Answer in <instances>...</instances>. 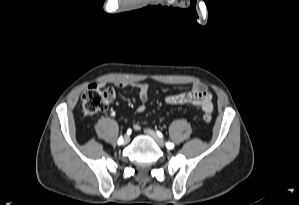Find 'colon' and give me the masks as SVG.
Returning a JSON list of instances; mask_svg holds the SVG:
<instances>
[{
  "mask_svg": "<svg viewBox=\"0 0 299 205\" xmlns=\"http://www.w3.org/2000/svg\"><path fill=\"white\" fill-rule=\"evenodd\" d=\"M115 97V89L112 86L99 87L94 84L89 86L82 95L81 109L85 116L93 117L109 107ZM203 120L210 123L212 116L209 113L203 115Z\"/></svg>",
  "mask_w": 299,
  "mask_h": 205,
  "instance_id": "5ec220e1",
  "label": "colon"
}]
</instances>
